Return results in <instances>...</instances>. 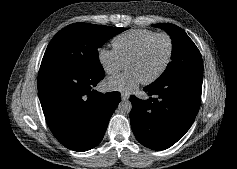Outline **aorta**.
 I'll return each instance as SVG.
<instances>
[{"mask_svg":"<svg viewBox=\"0 0 237 169\" xmlns=\"http://www.w3.org/2000/svg\"><path fill=\"white\" fill-rule=\"evenodd\" d=\"M117 109L120 114H129L132 110V104L129 100H122Z\"/></svg>","mask_w":237,"mask_h":169,"instance_id":"762f6f07","label":"aorta"}]
</instances>
